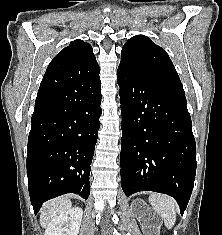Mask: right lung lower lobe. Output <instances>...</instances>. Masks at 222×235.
<instances>
[{
	"instance_id": "1",
	"label": "right lung lower lobe",
	"mask_w": 222,
	"mask_h": 235,
	"mask_svg": "<svg viewBox=\"0 0 222 235\" xmlns=\"http://www.w3.org/2000/svg\"><path fill=\"white\" fill-rule=\"evenodd\" d=\"M99 73L68 83L41 82L28 138V189L34 213L65 193L87 199L102 113Z\"/></svg>"
}]
</instances>
